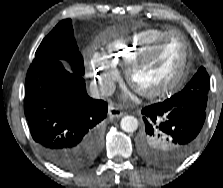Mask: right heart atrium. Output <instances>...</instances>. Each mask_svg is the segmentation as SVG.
<instances>
[{
	"mask_svg": "<svg viewBox=\"0 0 223 188\" xmlns=\"http://www.w3.org/2000/svg\"><path fill=\"white\" fill-rule=\"evenodd\" d=\"M89 68L98 90L103 94L110 93L118 77L115 66L103 54L95 52L91 56Z\"/></svg>",
	"mask_w": 223,
	"mask_h": 188,
	"instance_id": "1",
	"label": "right heart atrium"
}]
</instances>
